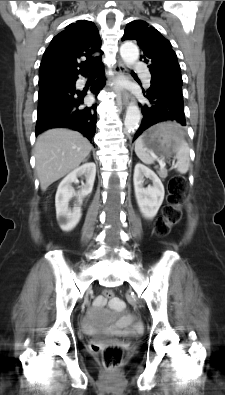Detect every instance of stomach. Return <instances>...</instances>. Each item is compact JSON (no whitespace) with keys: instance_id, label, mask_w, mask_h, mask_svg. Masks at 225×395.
Masks as SVG:
<instances>
[{"instance_id":"obj_1","label":"stomach","mask_w":225,"mask_h":395,"mask_svg":"<svg viewBox=\"0 0 225 395\" xmlns=\"http://www.w3.org/2000/svg\"><path fill=\"white\" fill-rule=\"evenodd\" d=\"M144 146L159 156H169L183 140V131L176 122L159 123L142 135Z\"/></svg>"}]
</instances>
